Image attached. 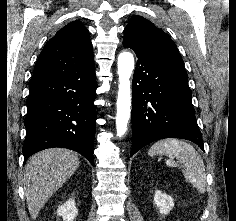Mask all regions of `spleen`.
I'll return each mask as SVG.
<instances>
[{"label":"spleen","instance_id":"obj_1","mask_svg":"<svg viewBox=\"0 0 236 221\" xmlns=\"http://www.w3.org/2000/svg\"><path fill=\"white\" fill-rule=\"evenodd\" d=\"M149 155H166L170 167H183V174L198 192L206 190V173L204 162L195 148L182 140L167 138L155 142L149 149ZM174 158L177 160L175 161Z\"/></svg>","mask_w":236,"mask_h":221}]
</instances>
